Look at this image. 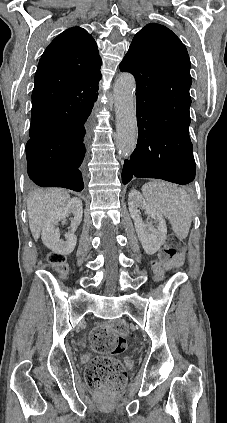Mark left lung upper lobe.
Returning a JSON list of instances; mask_svg holds the SVG:
<instances>
[{"label":"left lung upper lobe","mask_w":227,"mask_h":423,"mask_svg":"<svg viewBox=\"0 0 227 423\" xmlns=\"http://www.w3.org/2000/svg\"><path fill=\"white\" fill-rule=\"evenodd\" d=\"M190 67L184 44L159 24L140 30L120 63L136 79L137 107L157 112H189Z\"/></svg>","instance_id":"5c2ea615"}]
</instances>
